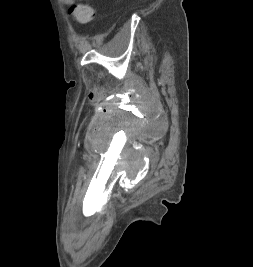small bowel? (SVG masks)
I'll return each instance as SVG.
<instances>
[{"instance_id":"c3829d8e","label":"small bowel","mask_w":253,"mask_h":267,"mask_svg":"<svg viewBox=\"0 0 253 267\" xmlns=\"http://www.w3.org/2000/svg\"><path fill=\"white\" fill-rule=\"evenodd\" d=\"M63 4L65 5H73L75 0H61Z\"/></svg>"}]
</instances>
